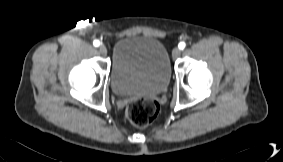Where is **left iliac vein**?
<instances>
[{
  "label": "left iliac vein",
  "instance_id": "4c4485c4",
  "mask_svg": "<svg viewBox=\"0 0 283 162\" xmlns=\"http://www.w3.org/2000/svg\"><path fill=\"white\" fill-rule=\"evenodd\" d=\"M181 54V50L178 48V47H175L173 50H172V57L175 59V58H178Z\"/></svg>",
  "mask_w": 283,
  "mask_h": 162
}]
</instances>
